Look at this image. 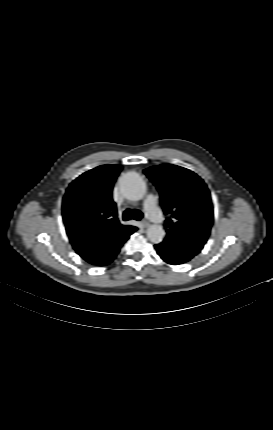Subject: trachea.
<instances>
[{"label": "trachea", "mask_w": 273, "mask_h": 430, "mask_svg": "<svg viewBox=\"0 0 273 430\" xmlns=\"http://www.w3.org/2000/svg\"><path fill=\"white\" fill-rule=\"evenodd\" d=\"M142 218H143V214L140 210L126 209L123 213V220L124 221H128L131 219L139 221Z\"/></svg>", "instance_id": "3493384b"}]
</instances>
